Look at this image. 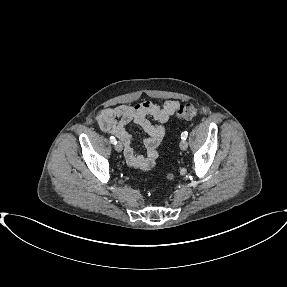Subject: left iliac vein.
<instances>
[{"label": "left iliac vein", "instance_id": "obj_1", "mask_svg": "<svg viewBox=\"0 0 287 287\" xmlns=\"http://www.w3.org/2000/svg\"><path fill=\"white\" fill-rule=\"evenodd\" d=\"M181 150H186L188 148V143L185 140H181L180 144H179Z\"/></svg>", "mask_w": 287, "mask_h": 287}]
</instances>
